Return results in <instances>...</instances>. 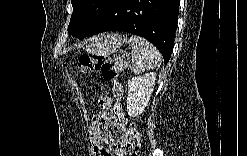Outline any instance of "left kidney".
Instances as JSON below:
<instances>
[{"label": "left kidney", "instance_id": "5707ae66", "mask_svg": "<svg viewBox=\"0 0 247 156\" xmlns=\"http://www.w3.org/2000/svg\"><path fill=\"white\" fill-rule=\"evenodd\" d=\"M156 73L150 72L133 77L128 85L127 112L130 117H137L146 108L152 95Z\"/></svg>", "mask_w": 247, "mask_h": 156}]
</instances>
